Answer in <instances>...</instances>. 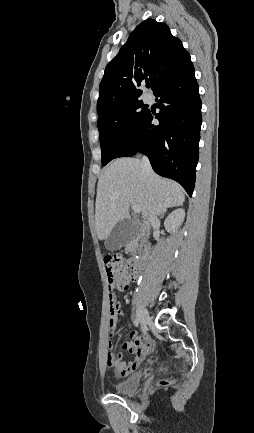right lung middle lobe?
I'll return each instance as SVG.
<instances>
[{
	"label": "right lung middle lobe",
	"mask_w": 254,
	"mask_h": 433,
	"mask_svg": "<svg viewBox=\"0 0 254 433\" xmlns=\"http://www.w3.org/2000/svg\"><path fill=\"white\" fill-rule=\"evenodd\" d=\"M142 101L134 100L98 112L97 126L102 165L110 162L128 141L148 112Z\"/></svg>",
	"instance_id": "right-lung-middle-lobe-1"
}]
</instances>
